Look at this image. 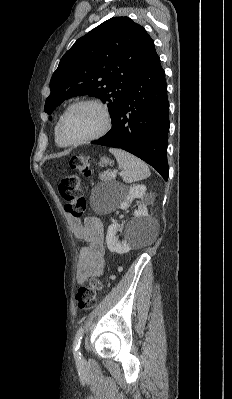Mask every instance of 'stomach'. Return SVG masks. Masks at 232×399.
Listing matches in <instances>:
<instances>
[{
  "instance_id": "stomach-1",
  "label": "stomach",
  "mask_w": 232,
  "mask_h": 399,
  "mask_svg": "<svg viewBox=\"0 0 232 399\" xmlns=\"http://www.w3.org/2000/svg\"><path fill=\"white\" fill-rule=\"evenodd\" d=\"M100 166H104V164H111V160H109V158H101L100 162H99Z\"/></svg>"
}]
</instances>
